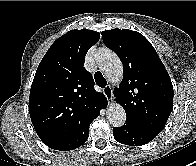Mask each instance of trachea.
Returning a JSON list of instances; mask_svg holds the SVG:
<instances>
[{
    "instance_id": "obj_1",
    "label": "trachea",
    "mask_w": 196,
    "mask_h": 166,
    "mask_svg": "<svg viewBox=\"0 0 196 166\" xmlns=\"http://www.w3.org/2000/svg\"><path fill=\"white\" fill-rule=\"evenodd\" d=\"M94 79L96 81V84L100 87H105L107 85L106 79L99 71L94 74Z\"/></svg>"
}]
</instances>
